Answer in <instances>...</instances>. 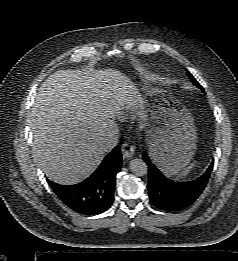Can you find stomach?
<instances>
[{"instance_id":"obj_1","label":"stomach","mask_w":238,"mask_h":261,"mask_svg":"<svg viewBox=\"0 0 238 261\" xmlns=\"http://www.w3.org/2000/svg\"><path fill=\"white\" fill-rule=\"evenodd\" d=\"M140 111L146 118L145 134L151 158L166 175L179 172L196 149L197 133L191 113L173 95L160 93L149 94Z\"/></svg>"}]
</instances>
